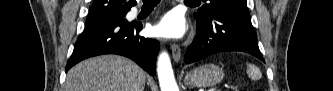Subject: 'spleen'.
<instances>
[{
    "label": "spleen",
    "mask_w": 333,
    "mask_h": 91,
    "mask_svg": "<svg viewBox=\"0 0 333 91\" xmlns=\"http://www.w3.org/2000/svg\"><path fill=\"white\" fill-rule=\"evenodd\" d=\"M247 75L252 80H259L262 77V74L258 67H256L254 64H247Z\"/></svg>",
    "instance_id": "1"
}]
</instances>
